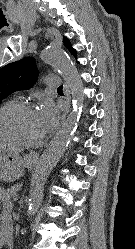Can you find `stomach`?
<instances>
[{"label":"stomach","instance_id":"stomach-1","mask_svg":"<svg viewBox=\"0 0 135 249\" xmlns=\"http://www.w3.org/2000/svg\"><path fill=\"white\" fill-rule=\"evenodd\" d=\"M35 163L34 155L22 158L19 153L0 149V180L14 181L22 175L24 168L32 169Z\"/></svg>","mask_w":135,"mask_h":249}]
</instances>
